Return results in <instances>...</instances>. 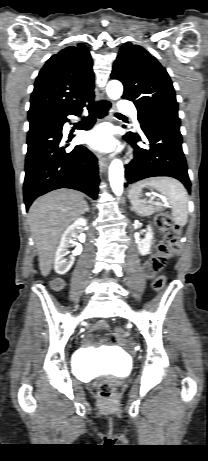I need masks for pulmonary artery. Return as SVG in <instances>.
<instances>
[{"label":"pulmonary artery","instance_id":"obj_1","mask_svg":"<svg viewBox=\"0 0 208 461\" xmlns=\"http://www.w3.org/2000/svg\"><path fill=\"white\" fill-rule=\"evenodd\" d=\"M119 110L130 114L135 121L137 120V110L134 105L128 102H121L119 104Z\"/></svg>","mask_w":208,"mask_h":461}]
</instances>
